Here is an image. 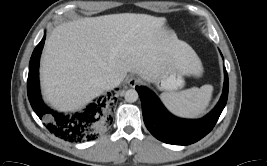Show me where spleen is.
<instances>
[{
	"label": "spleen",
	"instance_id": "3e777b00",
	"mask_svg": "<svg viewBox=\"0 0 267 166\" xmlns=\"http://www.w3.org/2000/svg\"><path fill=\"white\" fill-rule=\"evenodd\" d=\"M213 86L191 88L181 92L163 93L162 99L174 114L196 117L204 113L212 98Z\"/></svg>",
	"mask_w": 267,
	"mask_h": 166
}]
</instances>
